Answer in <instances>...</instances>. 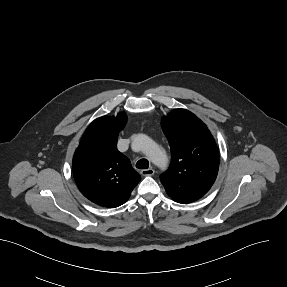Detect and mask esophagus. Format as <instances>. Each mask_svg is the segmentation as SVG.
I'll return each mask as SVG.
<instances>
[{"instance_id":"34e87169","label":"esophagus","mask_w":287,"mask_h":287,"mask_svg":"<svg viewBox=\"0 0 287 287\" xmlns=\"http://www.w3.org/2000/svg\"><path fill=\"white\" fill-rule=\"evenodd\" d=\"M154 173H155V171L152 168L144 169V170L141 171V174L143 176H152V175H154Z\"/></svg>"}]
</instances>
